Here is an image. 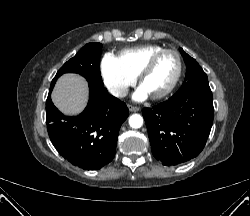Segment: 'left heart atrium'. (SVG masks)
Instances as JSON below:
<instances>
[{
  "label": "left heart atrium",
  "mask_w": 250,
  "mask_h": 216,
  "mask_svg": "<svg viewBox=\"0 0 250 216\" xmlns=\"http://www.w3.org/2000/svg\"><path fill=\"white\" fill-rule=\"evenodd\" d=\"M148 93L145 91V89L140 86L135 93L133 94V99L136 101H143L145 99H147L148 97Z\"/></svg>",
  "instance_id": "39dd6f15"
}]
</instances>
